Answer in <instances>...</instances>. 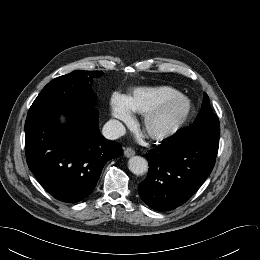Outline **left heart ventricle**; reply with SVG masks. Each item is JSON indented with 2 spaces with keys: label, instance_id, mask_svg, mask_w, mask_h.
<instances>
[{
  "label": "left heart ventricle",
  "instance_id": "left-heart-ventricle-1",
  "mask_svg": "<svg viewBox=\"0 0 260 260\" xmlns=\"http://www.w3.org/2000/svg\"><path fill=\"white\" fill-rule=\"evenodd\" d=\"M182 103L175 101L166 106L149 124L150 129L159 130L173 124L181 115Z\"/></svg>",
  "mask_w": 260,
  "mask_h": 260
}]
</instances>
